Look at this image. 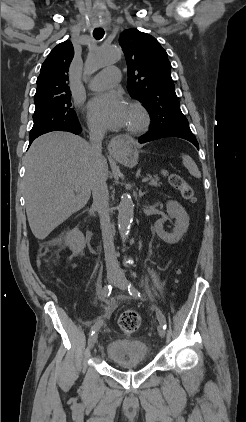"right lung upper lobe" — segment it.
<instances>
[{
  "mask_svg": "<svg viewBox=\"0 0 246 422\" xmlns=\"http://www.w3.org/2000/svg\"><path fill=\"white\" fill-rule=\"evenodd\" d=\"M74 56L72 43L67 40L58 44L42 64L37 78L34 96L36 108L66 96H71L68 86V71Z\"/></svg>",
  "mask_w": 246,
  "mask_h": 422,
  "instance_id": "cb5924a9",
  "label": "right lung upper lobe"
}]
</instances>
